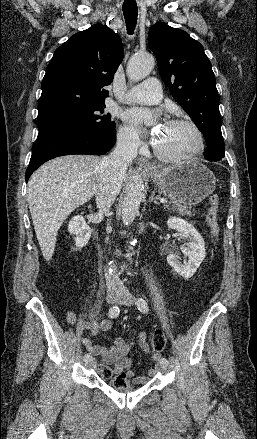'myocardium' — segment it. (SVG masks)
Instances as JSON below:
<instances>
[{
    "label": "myocardium",
    "instance_id": "1",
    "mask_svg": "<svg viewBox=\"0 0 257 439\" xmlns=\"http://www.w3.org/2000/svg\"><path fill=\"white\" fill-rule=\"evenodd\" d=\"M166 125H187V126L191 127L196 135L197 146L194 150H192L189 153L180 154V155H171V154L163 152L157 146V144L154 143L153 144L154 153L159 159H161L163 161H167V162H185V161H190V160L197 158L204 151V148H205L204 135H203L201 129L199 128V126L195 122H193L190 119L175 118V119L168 120L166 122Z\"/></svg>",
    "mask_w": 257,
    "mask_h": 439
}]
</instances>
